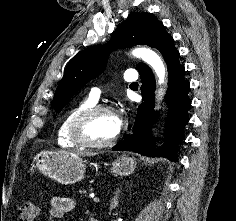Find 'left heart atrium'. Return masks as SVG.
Wrapping results in <instances>:
<instances>
[{
  "instance_id": "left-heart-atrium-1",
  "label": "left heart atrium",
  "mask_w": 236,
  "mask_h": 221,
  "mask_svg": "<svg viewBox=\"0 0 236 221\" xmlns=\"http://www.w3.org/2000/svg\"><path fill=\"white\" fill-rule=\"evenodd\" d=\"M114 119H115V125L118 130V132L122 129L125 123V117L122 113H117L114 114Z\"/></svg>"
}]
</instances>
